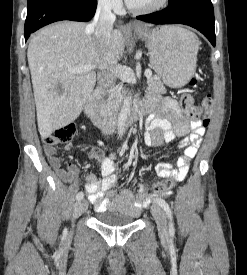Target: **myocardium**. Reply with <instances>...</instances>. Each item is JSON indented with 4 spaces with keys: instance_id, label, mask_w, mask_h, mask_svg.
I'll return each instance as SVG.
<instances>
[{
    "instance_id": "myocardium-1",
    "label": "myocardium",
    "mask_w": 247,
    "mask_h": 275,
    "mask_svg": "<svg viewBox=\"0 0 247 275\" xmlns=\"http://www.w3.org/2000/svg\"><path fill=\"white\" fill-rule=\"evenodd\" d=\"M169 0H161L159 3L147 7V8H135L131 5V3L129 2V0H126V4L128 9L136 14H151V13H155L157 11H160L161 9H163L167 4H168Z\"/></svg>"
}]
</instances>
